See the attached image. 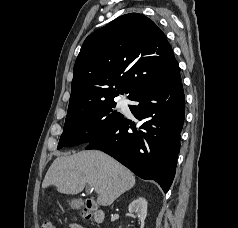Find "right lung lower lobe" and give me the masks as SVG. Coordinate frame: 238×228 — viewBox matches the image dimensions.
<instances>
[{
    "mask_svg": "<svg viewBox=\"0 0 238 228\" xmlns=\"http://www.w3.org/2000/svg\"><path fill=\"white\" fill-rule=\"evenodd\" d=\"M129 108L142 121L139 129L123 117L116 125L88 142L114 157L142 179L158 182L168 192L175 176L184 121V92L181 77L160 87L140 92Z\"/></svg>",
    "mask_w": 238,
    "mask_h": 228,
    "instance_id": "obj_1",
    "label": "right lung lower lobe"
}]
</instances>
